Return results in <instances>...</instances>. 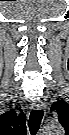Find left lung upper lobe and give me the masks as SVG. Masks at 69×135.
<instances>
[{
  "mask_svg": "<svg viewBox=\"0 0 69 135\" xmlns=\"http://www.w3.org/2000/svg\"><path fill=\"white\" fill-rule=\"evenodd\" d=\"M51 110H56L58 114V120L63 124L67 117L69 116V105L61 100L57 101L52 105Z\"/></svg>",
  "mask_w": 69,
  "mask_h": 135,
  "instance_id": "1",
  "label": "left lung upper lobe"
}]
</instances>
